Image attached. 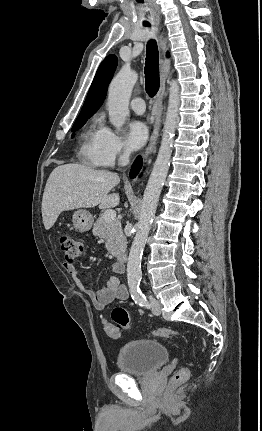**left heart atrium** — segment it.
<instances>
[{
    "instance_id": "left-heart-atrium-1",
    "label": "left heart atrium",
    "mask_w": 262,
    "mask_h": 431,
    "mask_svg": "<svg viewBox=\"0 0 262 431\" xmlns=\"http://www.w3.org/2000/svg\"><path fill=\"white\" fill-rule=\"evenodd\" d=\"M148 137V128L141 121H133L129 124L127 130V144L132 150H138L143 147Z\"/></svg>"
}]
</instances>
